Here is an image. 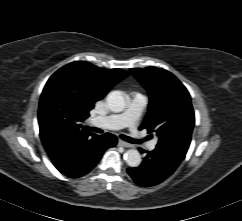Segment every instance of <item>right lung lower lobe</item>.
Wrapping results in <instances>:
<instances>
[{
  "label": "right lung lower lobe",
  "mask_w": 242,
  "mask_h": 221,
  "mask_svg": "<svg viewBox=\"0 0 242 221\" xmlns=\"http://www.w3.org/2000/svg\"><path fill=\"white\" fill-rule=\"evenodd\" d=\"M113 134L85 135L65 147L64 151L50 157L54 166L64 175L77 178L87 174L101 159L105 150L114 147Z\"/></svg>",
  "instance_id": "98d812e1"
}]
</instances>
